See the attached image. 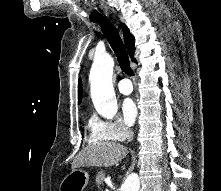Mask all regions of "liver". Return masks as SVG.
<instances>
[{"instance_id": "1", "label": "liver", "mask_w": 221, "mask_h": 191, "mask_svg": "<svg viewBox=\"0 0 221 191\" xmlns=\"http://www.w3.org/2000/svg\"><path fill=\"white\" fill-rule=\"evenodd\" d=\"M127 148L114 142H97L83 148L72 163V170L85 166L109 167L127 155ZM125 169V166H123Z\"/></svg>"}]
</instances>
